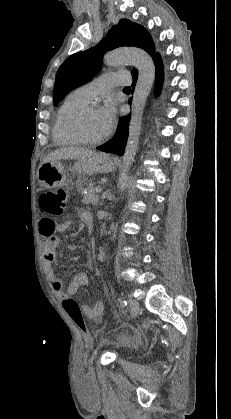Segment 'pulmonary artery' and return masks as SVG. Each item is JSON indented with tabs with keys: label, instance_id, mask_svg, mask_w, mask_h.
<instances>
[{
	"label": "pulmonary artery",
	"instance_id": "1",
	"mask_svg": "<svg viewBox=\"0 0 231 419\" xmlns=\"http://www.w3.org/2000/svg\"><path fill=\"white\" fill-rule=\"evenodd\" d=\"M130 83L128 74L120 72L105 73L96 79L82 85L78 90L88 99L92 100L95 96L101 93L108 92L113 87L118 85H126Z\"/></svg>",
	"mask_w": 231,
	"mask_h": 419
}]
</instances>
